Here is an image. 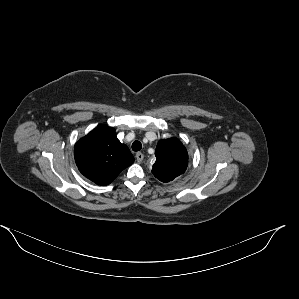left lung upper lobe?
<instances>
[{"mask_svg":"<svg viewBox=\"0 0 299 299\" xmlns=\"http://www.w3.org/2000/svg\"><path fill=\"white\" fill-rule=\"evenodd\" d=\"M153 175L162 182H170L183 174L188 165L186 148L177 138L160 140L155 150Z\"/></svg>","mask_w":299,"mask_h":299,"instance_id":"1","label":"left lung upper lobe"}]
</instances>
